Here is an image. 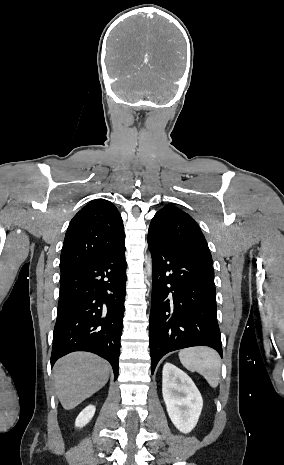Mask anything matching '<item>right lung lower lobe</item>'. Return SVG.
<instances>
[{"label":"right lung lower lobe","instance_id":"obj_1","mask_svg":"<svg viewBox=\"0 0 284 465\" xmlns=\"http://www.w3.org/2000/svg\"><path fill=\"white\" fill-rule=\"evenodd\" d=\"M126 268L123 244L89 265L61 274L51 366L70 352L88 351L110 362L116 380Z\"/></svg>","mask_w":284,"mask_h":465}]
</instances>
